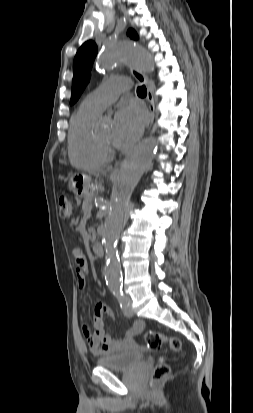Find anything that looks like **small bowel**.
<instances>
[{"label":"small bowel","mask_w":253,"mask_h":413,"mask_svg":"<svg viewBox=\"0 0 253 413\" xmlns=\"http://www.w3.org/2000/svg\"><path fill=\"white\" fill-rule=\"evenodd\" d=\"M73 255L78 264L84 265V256L79 249H74ZM76 279L78 287L84 289L86 278L83 270L77 271ZM105 315L113 319L111 311L104 304L98 303L94 308L92 328L83 326V333L91 354L101 356L135 347V337L143 331L144 323L136 321L124 336L115 338L106 329Z\"/></svg>","instance_id":"small-bowel-1"}]
</instances>
